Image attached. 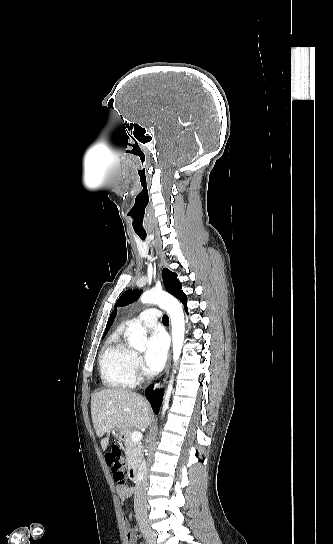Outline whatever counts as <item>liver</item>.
I'll return each instance as SVG.
<instances>
[{"label":"liver","mask_w":333,"mask_h":544,"mask_svg":"<svg viewBox=\"0 0 333 544\" xmlns=\"http://www.w3.org/2000/svg\"><path fill=\"white\" fill-rule=\"evenodd\" d=\"M91 415L103 451L109 443L111 429L127 430L131 427L145 428L152 422L149 404L139 394L123 389H104L92 395Z\"/></svg>","instance_id":"liver-1"}]
</instances>
